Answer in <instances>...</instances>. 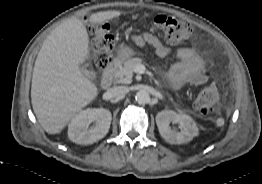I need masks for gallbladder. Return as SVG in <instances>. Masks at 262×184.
Returning a JSON list of instances; mask_svg holds the SVG:
<instances>
[{
  "mask_svg": "<svg viewBox=\"0 0 262 184\" xmlns=\"http://www.w3.org/2000/svg\"><path fill=\"white\" fill-rule=\"evenodd\" d=\"M81 72H82V74L86 77V78H88V79H90V78H92L93 77V75H92V72L90 71V70H88L86 67H81Z\"/></svg>",
  "mask_w": 262,
  "mask_h": 184,
  "instance_id": "obj_1",
  "label": "gallbladder"
}]
</instances>
